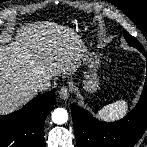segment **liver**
Wrapping results in <instances>:
<instances>
[{
	"instance_id": "liver-1",
	"label": "liver",
	"mask_w": 147,
	"mask_h": 147,
	"mask_svg": "<svg viewBox=\"0 0 147 147\" xmlns=\"http://www.w3.org/2000/svg\"><path fill=\"white\" fill-rule=\"evenodd\" d=\"M87 53L80 36L68 27L48 21L23 26L17 44L0 45V112L27 101L39 79L76 72Z\"/></svg>"
}]
</instances>
